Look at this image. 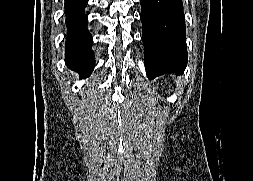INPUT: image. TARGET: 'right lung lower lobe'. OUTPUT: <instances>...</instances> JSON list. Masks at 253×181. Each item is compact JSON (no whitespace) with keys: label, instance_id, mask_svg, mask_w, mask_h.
Instances as JSON below:
<instances>
[{"label":"right lung lower lobe","instance_id":"obj_1","mask_svg":"<svg viewBox=\"0 0 253 181\" xmlns=\"http://www.w3.org/2000/svg\"><path fill=\"white\" fill-rule=\"evenodd\" d=\"M87 0H65L66 23V63L70 69L88 77L94 69L95 58L91 49L93 39L87 30V16L84 8Z\"/></svg>","mask_w":253,"mask_h":181}]
</instances>
